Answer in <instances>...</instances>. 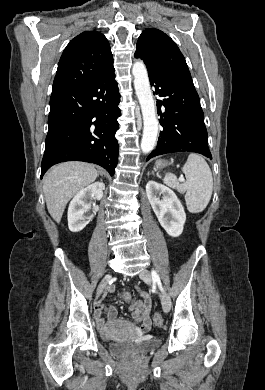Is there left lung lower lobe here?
Returning <instances> with one entry per match:
<instances>
[{
  "instance_id": "0a47b994",
  "label": "left lung lower lobe",
  "mask_w": 265,
  "mask_h": 390,
  "mask_svg": "<svg viewBox=\"0 0 265 390\" xmlns=\"http://www.w3.org/2000/svg\"><path fill=\"white\" fill-rule=\"evenodd\" d=\"M149 74V73H148ZM151 85L163 100L157 101L162 131L149 159L167 153L195 152L210 159L207 130L199 96L190 76L149 74ZM164 106V112L161 107Z\"/></svg>"
}]
</instances>
